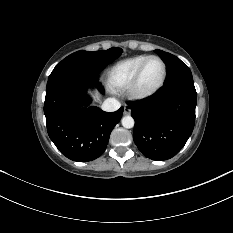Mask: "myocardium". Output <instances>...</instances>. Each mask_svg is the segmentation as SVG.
I'll list each match as a JSON object with an SVG mask.
<instances>
[{
	"label": "myocardium",
	"instance_id": "obj_1",
	"mask_svg": "<svg viewBox=\"0 0 233 233\" xmlns=\"http://www.w3.org/2000/svg\"><path fill=\"white\" fill-rule=\"evenodd\" d=\"M151 59H157L161 62L162 66H163V74L161 77L160 82L152 89L147 90V91H142L139 89V83H140V79L142 76V73L144 71V68L146 66V64L151 60ZM167 78V65L166 62L157 55H150L148 56L139 66V68L137 69L127 91H128V95L131 99L134 100H144V99H148L150 97H152L153 95H155L164 85L165 81Z\"/></svg>",
	"mask_w": 233,
	"mask_h": 233
}]
</instances>
